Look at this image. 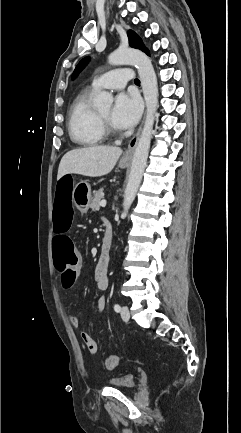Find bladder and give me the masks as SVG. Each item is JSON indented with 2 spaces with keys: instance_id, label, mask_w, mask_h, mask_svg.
Masks as SVG:
<instances>
[{
  "instance_id": "bladder-1",
  "label": "bladder",
  "mask_w": 241,
  "mask_h": 433,
  "mask_svg": "<svg viewBox=\"0 0 241 433\" xmlns=\"http://www.w3.org/2000/svg\"><path fill=\"white\" fill-rule=\"evenodd\" d=\"M110 386L123 390L133 389L136 385V376L134 374H125L122 376L110 378L108 380Z\"/></svg>"
}]
</instances>
